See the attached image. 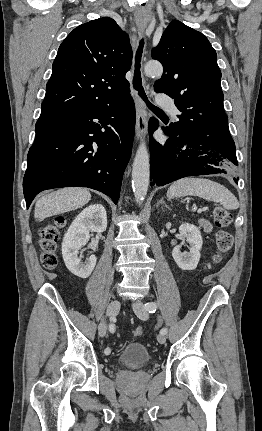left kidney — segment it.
Segmentation results:
<instances>
[{"label":"left kidney","instance_id":"5707ae66","mask_svg":"<svg viewBox=\"0 0 262 431\" xmlns=\"http://www.w3.org/2000/svg\"><path fill=\"white\" fill-rule=\"evenodd\" d=\"M179 232L190 244V251L181 252V246L178 245L174 247L172 256L176 264L182 270H194L196 269L201 256L200 251L203 244L201 232L198 227L188 223L182 224L179 227Z\"/></svg>","mask_w":262,"mask_h":431}]
</instances>
